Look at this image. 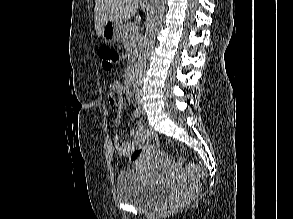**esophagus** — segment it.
Masks as SVG:
<instances>
[{"label": "esophagus", "mask_w": 293, "mask_h": 219, "mask_svg": "<svg viewBox=\"0 0 293 219\" xmlns=\"http://www.w3.org/2000/svg\"><path fill=\"white\" fill-rule=\"evenodd\" d=\"M142 2L145 3V4H149L150 0H142Z\"/></svg>", "instance_id": "obj_1"}]
</instances>
